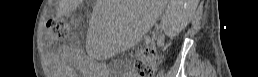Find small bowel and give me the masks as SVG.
<instances>
[{
    "mask_svg": "<svg viewBox=\"0 0 258 77\" xmlns=\"http://www.w3.org/2000/svg\"><path fill=\"white\" fill-rule=\"evenodd\" d=\"M163 43V40L162 39H159L158 40V44L161 45Z\"/></svg>",
    "mask_w": 258,
    "mask_h": 77,
    "instance_id": "c3829d8e",
    "label": "small bowel"
}]
</instances>
